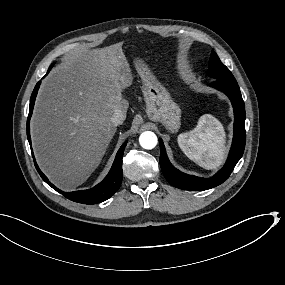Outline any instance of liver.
Returning <instances> with one entry per match:
<instances>
[{
    "label": "liver",
    "instance_id": "liver-1",
    "mask_svg": "<svg viewBox=\"0 0 285 285\" xmlns=\"http://www.w3.org/2000/svg\"><path fill=\"white\" fill-rule=\"evenodd\" d=\"M132 80L122 43L79 46L42 80L30 123L32 145L57 187L72 190L98 167L117 130L114 112L126 115L122 91Z\"/></svg>",
    "mask_w": 285,
    "mask_h": 285
}]
</instances>
